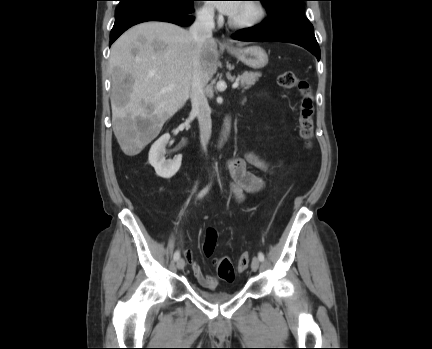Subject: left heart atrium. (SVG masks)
<instances>
[{
  "mask_svg": "<svg viewBox=\"0 0 432 349\" xmlns=\"http://www.w3.org/2000/svg\"><path fill=\"white\" fill-rule=\"evenodd\" d=\"M238 1H221L215 4L217 9L229 16H232L239 7Z\"/></svg>",
  "mask_w": 432,
  "mask_h": 349,
  "instance_id": "obj_1",
  "label": "left heart atrium"
}]
</instances>
